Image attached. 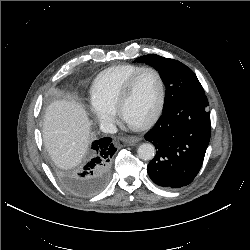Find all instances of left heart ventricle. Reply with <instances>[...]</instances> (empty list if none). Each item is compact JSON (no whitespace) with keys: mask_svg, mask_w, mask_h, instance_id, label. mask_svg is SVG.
<instances>
[{"mask_svg":"<svg viewBox=\"0 0 250 250\" xmlns=\"http://www.w3.org/2000/svg\"><path fill=\"white\" fill-rule=\"evenodd\" d=\"M158 95L159 85L156 76L150 71L141 73L123 106V120L131 126L144 121L153 112Z\"/></svg>","mask_w":250,"mask_h":250,"instance_id":"1","label":"left heart ventricle"}]
</instances>
